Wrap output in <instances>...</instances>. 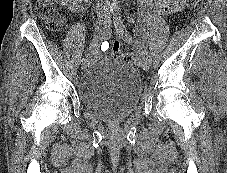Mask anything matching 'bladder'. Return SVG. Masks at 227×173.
<instances>
[{
    "label": "bladder",
    "instance_id": "bladder-1",
    "mask_svg": "<svg viewBox=\"0 0 227 173\" xmlns=\"http://www.w3.org/2000/svg\"><path fill=\"white\" fill-rule=\"evenodd\" d=\"M142 93L138 71L119 61L90 67L77 86L83 109L106 122H119L132 115L140 105Z\"/></svg>",
    "mask_w": 227,
    "mask_h": 173
}]
</instances>
